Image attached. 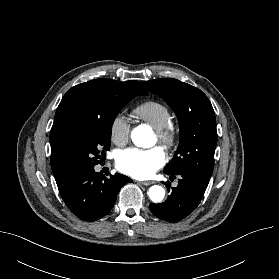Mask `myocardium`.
I'll return each instance as SVG.
<instances>
[{
    "label": "myocardium",
    "mask_w": 279,
    "mask_h": 279,
    "mask_svg": "<svg viewBox=\"0 0 279 279\" xmlns=\"http://www.w3.org/2000/svg\"><path fill=\"white\" fill-rule=\"evenodd\" d=\"M158 142L165 149H172L177 141V131L172 122L155 129Z\"/></svg>",
    "instance_id": "obj_1"
}]
</instances>
